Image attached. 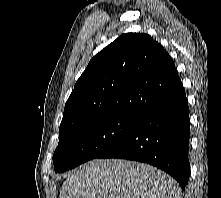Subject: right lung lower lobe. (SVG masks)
<instances>
[{
  "label": "right lung lower lobe",
  "mask_w": 221,
  "mask_h": 198,
  "mask_svg": "<svg viewBox=\"0 0 221 198\" xmlns=\"http://www.w3.org/2000/svg\"><path fill=\"white\" fill-rule=\"evenodd\" d=\"M189 138V107L181 84L147 109L128 134L96 158L151 164L175 178L183 190L190 176Z\"/></svg>",
  "instance_id": "obj_1"
}]
</instances>
